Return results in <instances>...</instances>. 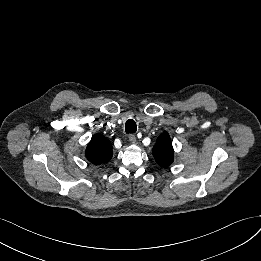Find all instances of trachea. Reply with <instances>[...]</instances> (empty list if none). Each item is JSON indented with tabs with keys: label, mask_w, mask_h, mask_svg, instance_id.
I'll return each instance as SVG.
<instances>
[{
	"label": "trachea",
	"mask_w": 261,
	"mask_h": 261,
	"mask_svg": "<svg viewBox=\"0 0 261 261\" xmlns=\"http://www.w3.org/2000/svg\"><path fill=\"white\" fill-rule=\"evenodd\" d=\"M126 133H135L137 131V126L134 120L129 119L125 124Z\"/></svg>",
	"instance_id": "trachea-1"
}]
</instances>
